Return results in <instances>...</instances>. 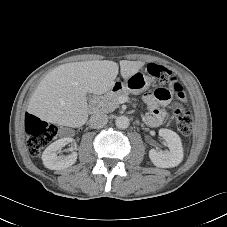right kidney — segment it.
<instances>
[{
	"label": "right kidney",
	"instance_id": "1",
	"mask_svg": "<svg viewBox=\"0 0 227 227\" xmlns=\"http://www.w3.org/2000/svg\"><path fill=\"white\" fill-rule=\"evenodd\" d=\"M72 142V138L65 137L50 144L42 154L44 166L51 170H61L72 166L77 160V152L73 151L67 156L57 155L59 149Z\"/></svg>",
	"mask_w": 227,
	"mask_h": 227
}]
</instances>
